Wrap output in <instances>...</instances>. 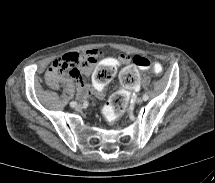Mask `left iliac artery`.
I'll return each mask as SVG.
<instances>
[{
	"instance_id": "44dca946",
	"label": "left iliac artery",
	"mask_w": 215,
	"mask_h": 183,
	"mask_svg": "<svg viewBox=\"0 0 215 183\" xmlns=\"http://www.w3.org/2000/svg\"><path fill=\"white\" fill-rule=\"evenodd\" d=\"M142 98L144 101H146V100H148L149 96L147 94H144Z\"/></svg>"
}]
</instances>
